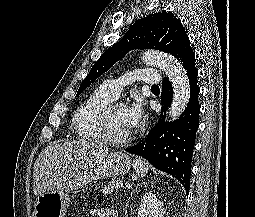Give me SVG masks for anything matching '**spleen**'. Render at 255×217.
Returning <instances> with one entry per match:
<instances>
[{
	"instance_id": "1",
	"label": "spleen",
	"mask_w": 255,
	"mask_h": 217,
	"mask_svg": "<svg viewBox=\"0 0 255 217\" xmlns=\"http://www.w3.org/2000/svg\"><path fill=\"white\" fill-rule=\"evenodd\" d=\"M133 168L139 176L144 177L149 170V164L145 160L136 159Z\"/></svg>"
}]
</instances>
